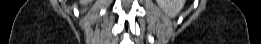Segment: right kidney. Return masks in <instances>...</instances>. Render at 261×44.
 Masks as SVG:
<instances>
[{"label": "right kidney", "mask_w": 261, "mask_h": 44, "mask_svg": "<svg viewBox=\"0 0 261 44\" xmlns=\"http://www.w3.org/2000/svg\"><path fill=\"white\" fill-rule=\"evenodd\" d=\"M80 2L82 5H86L88 2H90V0H81Z\"/></svg>", "instance_id": "right-kidney-1"}]
</instances>
